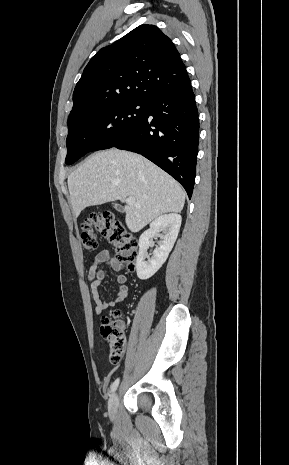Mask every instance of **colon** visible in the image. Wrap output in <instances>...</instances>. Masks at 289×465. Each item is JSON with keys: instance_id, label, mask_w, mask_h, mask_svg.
Returning a JSON list of instances; mask_svg holds the SVG:
<instances>
[{"instance_id": "1", "label": "colon", "mask_w": 289, "mask_h": 465, "mask_svg": "<svg viewBox=\"0 0 289 465\" xmlns=\"http://www.w3.org/2000/svg\"><path fill=\"white\" fill-rule=\"evenodd\" d=\"M97 233L102 234L116 249V259L128 271H133L137 258V241L110 212L91 214L82 224L80 239L84 249L94 250L98 245ZM118 312L103 317L100 335L109 345L111 362H119L125 352L127 341L120 322L114 318Z\"/></svg>"}]
</instances>
